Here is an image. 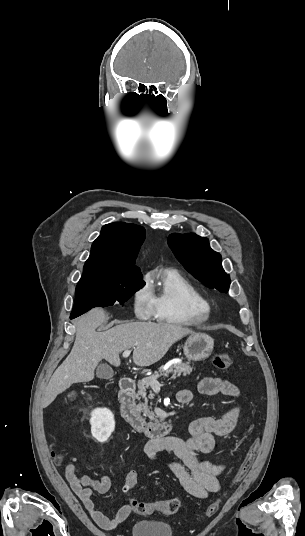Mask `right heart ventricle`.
Here are the masks:
<instances>
[{"label": "right heart ventricle", "mask_w": 305, "mask_h": 536, "mask_svg": "<svg viewBox=\"0 0 305 536\" xmlns=\"http://www.w3.org/2000/svg\"><path fill=\"white\" fill-rule=\"evenodd\" d=\"M150 292L159 321L195 326L210 318V306L205 297L177 270L160 271L150 283Z\"/></svg>", "instance_id": "e07e8e85"}]
</instances>
